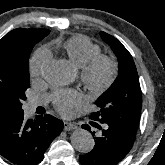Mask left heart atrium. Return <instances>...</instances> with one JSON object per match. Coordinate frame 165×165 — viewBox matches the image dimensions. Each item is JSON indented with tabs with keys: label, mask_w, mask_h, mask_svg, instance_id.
Segmentation results:
<instances>
[{
	"label": "left heart atrium",
	"mask_w": 165,
	"mask_h": 165,
	"mask_svg": "<svg viewBox=\"0 0 165 165\" xmlns=\"http://www.w3.org/2000/svg\"><path fill=\"white\" fill-rule=\"evenodd\" d=\"M83 101L81 93L76 91L64 92L56 96L55 107L63 115H69L73 108L79 106Z\"/></svg>",
	"instance_id": "left-heart-atrium-1"
}]
</instances>
